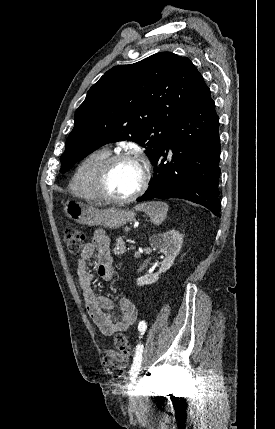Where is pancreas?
Segmentation results:
<instances>
[{"label": "pancreas", "mask_w": 275, "mask_h": 429, "mask_svg": "<svg viewBox=\"0 0 275 429\" xmlns=\"http://www.w3.org/2000/svg\"><path fill=\"white\" fill-rule=\"evenodd\" d=\"M113 251L115 255H123L125 253L126 247L122 237L117 238Z\"/></svg>", "instance_id": "obj_1"}]
</instances>
